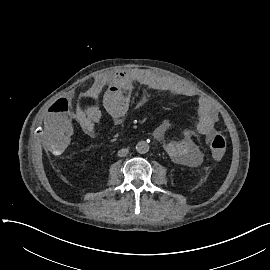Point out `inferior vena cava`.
<instances>
[{
	"instance_id": "602c4592",
	"label": "inferior vena cava",
	"mask_w": 270,
	"mask_h": 270,
	"mask_svg": "<svg viewBox=\"0 0 270 270\" xmlns=\"http://www.w3.org/2000/svg\"><path fill=\"white\" fill-rule=\"evenodd\" d=\"M128 152H129V150L127 148L121 149V150L118 151V156L119 157H124V156H126L128 154Z\"/></svg>"
}]
</instances>
